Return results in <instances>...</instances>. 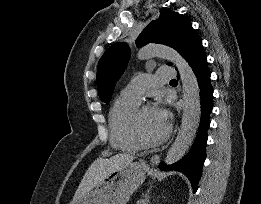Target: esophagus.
I'll list each match as a JSON object with an SVG mask.
<instances>
[{
	"label": "esophagus",
	"instance_id": "obj_1",
	"mask_svg": "<svg viewBox=\"0 0 261 204\" xmlns=\"http://www.w3.org/2000/svg\"><path fill=\"white\" fill-rule=\"evenodd\" d=\"M160 160V157L158 155H154L150 158V163L151 164H155V163H158Z\"/></svg>",
	"mask_w": 261,
	"mask_h": 204
}]
</instances>
